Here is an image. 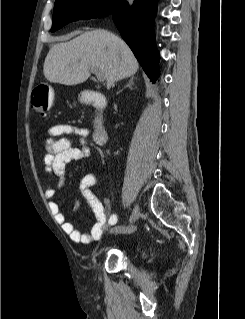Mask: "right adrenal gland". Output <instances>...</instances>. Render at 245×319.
I'll list each match as a JSON object with an SVG mask.
<instances>
[{
	"mask_svg": "<svg viewBox=\"0 0 245 319\" xmlns=\"http://www.w3.org/2000/svg\"><path fill=\"white\" fill-rule=\"evenodd\" d=\"M134 85V77H131L130 80L128 81V83L124 86L123 89L125 88H130V89H133L132 86ZM123 89H121L118 93H120L121 91H123ZM117 93V94H118Z\"/></svg>",
	"mask_w": 245,
	"mask_h": 319,
	"instance_id": "1",
	"label": "right adrenal gland"
}]
</instances>
